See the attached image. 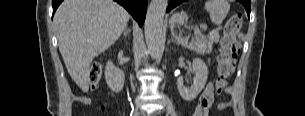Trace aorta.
I'll list each match as a JSON object with an SVG mask.
<instances>
[{"mask_svg": "<svg viewBox=\"0 0 305 116\" xmlns=\"http://www.w3.org/2000/svg\"><path fill=\"white\" fill-rule=\"evenodd\" d=\"M166 7L167 0H151L147 10L144 24L145 39L154 56L158 53L161 44Z\"/></svg>", "mask_w": 305, "mask_h": 116, "instance_id": "aorta-1", "label": "aorta"}]
</instances>
